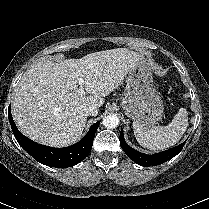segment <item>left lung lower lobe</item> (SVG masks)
<instances>
[{"label": "left lung lower lobe", "instance_id": "1", "mask_svg": "<svg viewBox=\"0 0 209 209\" xmlns=\"http://www.w3.org/2000/svg\"><path fill=\"white\" fill-rule=\"evenodd\" d=\"M184 144L185 142L179 146L168 149L166 151H163L154 155H147V154L140 153L136 151L135 149L131 148L124 140L122 129L120 132V146L122 147V149L134 162L144 167L159 165V164L164 163L167 160L172 159L182 150Z\"/></svg>", "mask_w": 209, "mask_h": 209}]
</instances>
